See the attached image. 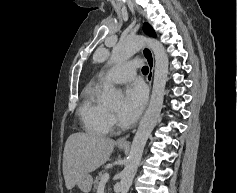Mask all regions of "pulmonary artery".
Returning <instances> with one entry per match:
<instances>
[{
	"label": "pulmonary artery",
	"mask_w": 237,
	"mask_h": 193,
	"mask_svg": "<svg viewBox=\"0 0 237 193\" xmlns=\"http://www.w3.org/2000/svg\"><path fill=\"white\" fill-rule=\"evenodd\" d=\"M141 65L139 59L121 64L104 75L100 76L101 81H111L114 83H125L131 81L136 73V69Z\"/></svg>",
	"instance_id": "obj_1"
}]
</instances>
